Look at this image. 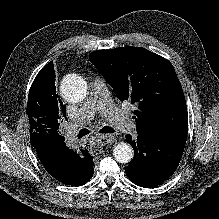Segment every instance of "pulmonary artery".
Returning <instances> with one entry per match:
<instances>
[{"instance_id": "pulmonary-artery-1", "label": "pulmonary artery", "mask_w": 219, "mask_h": 219, "mask_svg": "<svg viewBox=\"0 0 219 219\" xmlns=\"http://www.w3.org/2000/svg\"><path fill=\"white\" fill-rule=\"evenodd\" d=\"M96 111H99L107 121L120 131L131 133L135 130L133 121L114 104L105 81L100 77H95L92 80L89 98L80 108L77 120L84 123L90 122Z\"/></svg>"}]
</instances>
